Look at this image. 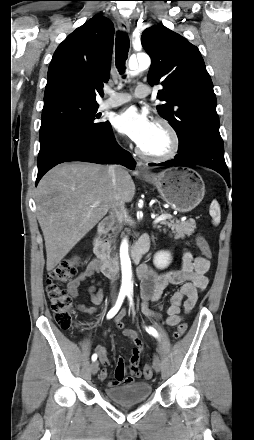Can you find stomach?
<instances>
[{
  "label": "stomach",
  "mask_w": 254,
  "mask_h": 440,
  "mask_svg": "<svg viewBox=\"0 0 254 440\" xmlns=\"http://www.w3.org/2000/svg\"><path fill=\"white\" fill-rule=\"evenodd\" d=\"M143 179L156 186L162 199L181 213L197 207L205 194L202 177L189 168H169L158 174L143 176Z\"/></svg>",
  "instance_id": "1"
}]
</instances>
